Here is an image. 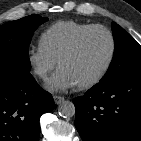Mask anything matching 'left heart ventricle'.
Wrapping results in <instances>:
<instances>
[{
    "mask_svg": "<svg viewBox=\"0 0 141 141\" xmlns=\"http://www.w3.org/2000/svg\"><path fill=\"white\" fill-rule=\"evenodd\" d=\"M110 52L108 35L100 30L89 33L76 52L60 68L66 70L76 85L93 78L104 66Z\"/></svg>",
    "mask_w": 141,
    "mask_h": 141,
    "instance_id": "b2bd125f",
    "label": "left heart ventricle"
}]
</instances>
